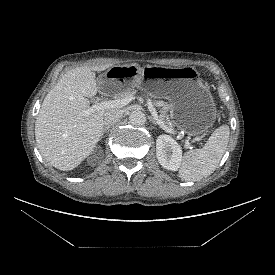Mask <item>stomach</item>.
Here are the masks:
<instances>
[{
	"instance_id": "stomach-1",
	"label": "stomach",
	"mask_w": 275,
	"mask_h": 275,
	"mask_svg": "<svg viewBox=\"0 0 275 275\" xmlns=\"http://www.w3.org/2000/svg\"><path fill=\"white\" fill-rule=\"evenodd\" d=\"M134 87L171 100L173 123L189 135H199L214 123L212 94L193 66H112L98 78V88L104 93L115 94Z\"/></svg>"
}]
</instances>
